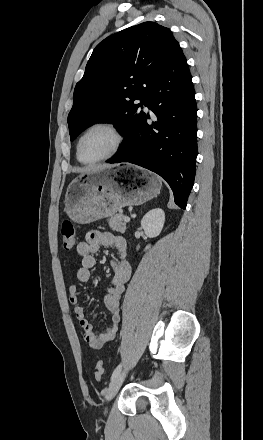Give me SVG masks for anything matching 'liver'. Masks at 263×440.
<instances>
[{"label": "liver", "mask_w": 263, "mask_h": 440, "mask_svg": "<svg viewBox=\"0 0 263 440\" xmlns=\"http://www.w3.org/2000/svg\"><path fill=\"white\" fill-rule=\"evenodd\" d=\"M106 167H111L110 165H103V166H99L96 169H101V168H106Z\"/></svg>", "instance_id": "1"}]
</instances>
